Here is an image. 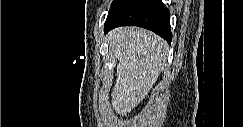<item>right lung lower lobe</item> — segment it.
I'll return each mask as SVG.
<instances>
[{"mask_svg":"<svg viewBox=\"0 0 243 127\" xmlns=\"http://www.w3.org/2000/svg\"><path fill=\"white\" fill-rule=\"evenodd\" d=\"M170 12L161 0H115L111 4L104 32L119 26H138L172 41Z\"/></svg>","mask_w":243,"mask_h":127,"instance_id":"obj_1","label":"right lung lower lobe"}]
</instances>
